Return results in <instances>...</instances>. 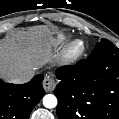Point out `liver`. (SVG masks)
<instances>
[{
    "label": "liver",
    "instance_id": "6515ba94",
    "mask_svg": "<svg viewBox=\"0 0 119 119\" xmlns=\"http://www.w3.org/2000/svg\"><path fill=\"white\" fill-rule=\"evenodd\" d=\"M53 34V26L38 25L0 42V78L8 81L45 64L52 55Z\"/></svg>",
    "mask_w": 119,
    "mask_h": 119
}]
</instances>
